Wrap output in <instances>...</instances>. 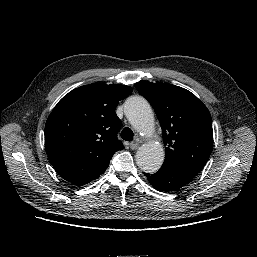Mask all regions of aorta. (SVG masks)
<instances>
[{
    "mask_svg": "<svg viewBox=\"0 0 257 257\" xmlns=\"http://www.w3.org/2000/svg\"><path fill=\"white\" fill-rule=\"evenodd\" d=\"M124 112L131 125L140 133L150 135L154 131V116L150 104L142 97L129 99ZM164 161V151L160 144L148 142L136 153L138 167L146 173H154L160 169Z\"/></svg>",
    "mask_w": 257,
    "mask_h": 257,
    "instance_id": "aorta-1",
    "label": "aorta"
}]
</instances>
